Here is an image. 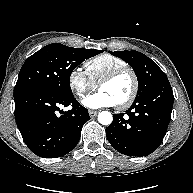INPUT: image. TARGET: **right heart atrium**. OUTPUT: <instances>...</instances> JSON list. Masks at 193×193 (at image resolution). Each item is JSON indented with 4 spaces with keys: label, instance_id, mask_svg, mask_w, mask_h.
I'll return each instance as SVG.
<instances>
[{
    "label": "right heart atrium",
    "instance_id": "right-heart-atrium-1",
    "mask_svg": "<svg viewBox=\"0 0 193 193\" xmlns=\"http://www.w3.org/2000/svg\"><path fill=\"white\" fill-rule=\"evenodd\" d=\"M68 85L78 98H83L96 88V84L80 68H74L69 72Z\"/></svg>",
    "mask_w": 193,
    "mask_h": 193
}]
</instances>
